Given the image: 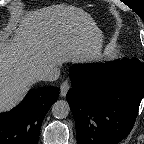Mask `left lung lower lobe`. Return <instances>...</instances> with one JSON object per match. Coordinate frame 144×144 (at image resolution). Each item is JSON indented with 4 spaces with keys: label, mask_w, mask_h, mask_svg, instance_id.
I'll list each match as a JSON object with an SVG mask.
<instances>
[{
    "label": "left lung lower lobe",
    "mask_w": 144,
    "mask_h": 144,
    "mask_svg": "<svg viewBox=\"0 0 144 144\" xmlns=\"http://www.w3.org/2000/svg\"><path fill=\"white\" fill-rule=\"evenodd\" d=\"M67 100L78 144H117L131 131L144 95L139 59L78 64L70 69Z\"/></svg>",
    "instance_id": "obj_1"
}]
</instances>
